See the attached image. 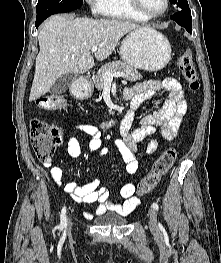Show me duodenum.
<instances>
[{
	"label": "duodenum",
	"mask_w": 221,
	"mask_h": 263,
	"mask_svg": "<svg viewBox=\"0 0 221 263\" xmlns=\"http://www.w3.org/2000/svg\"><path fill=\"white\" fill-rule=\"evenodd\" d=\"M74 92H76V88L74 89ZM124 99H127V97L124 96ZM129 120H130V116L127 115V116L125 117V121H129ZM116 124H117V120H111V121L106 122V123H105V126H106L107 128H113V127L116 126Z\"/></svg>",
	"instance_id": "1"
}]
</instances>
